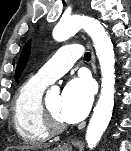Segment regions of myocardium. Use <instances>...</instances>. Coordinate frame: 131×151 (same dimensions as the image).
Instances as JSON below:
<instances>
[{
  "label": "myocardium",
  "instance_id": "f54148a6",
  "mask_svg": "<svg viewBox=\"0 0 131 151\" xmlns=\"http://www.w3.org/2000/svg\"><path fill=\"white\" fill-rule=\"evenodd\" d=\"M42 110L45 125L50 133L52 134L61 133L67 128V125L63 121L57 119L55 115L51 112L47 104V99L42 101Z\"/></svg>",
  "mask_w": 131,
  "mask_h": 151
}]
</instances>
